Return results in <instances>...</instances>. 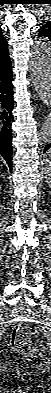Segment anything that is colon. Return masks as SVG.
Segmentation results:
<instances>
[{
  "instance_id": "obj_1",
  "label": "colon",
  "mask_w": 51,
  "mask_h": 393,
  "mask_svg": "<svg viewBox=\"0 0 51 393\" xmlns=\"http://www.w3.org/2000/svg\"><path fill=\"white\" fill-rule=\"evenodd\" d=\"M12 349L22 355L39 357L44 354L45 347L39 342H32L30 330L24 324L16 325L11 331Z\"/></svg>"
}]
</instances>
